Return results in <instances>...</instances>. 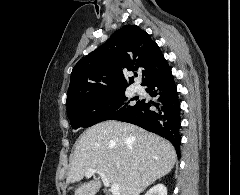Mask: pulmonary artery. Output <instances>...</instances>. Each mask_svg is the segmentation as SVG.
I'll list each match as a JSON object with an SVG mask.
<instances>
[{
    "label": "pulmonary artery",
    "mask_w": 240,
    "mask_h": 195,
    "mask_svg": "<svg viewBox=\"0 0 240 195\" xmlns=\"http://www.w3.org/2000/svg\"><path fill=\"white\" fill-rule=\"evenodd\" d=\"M135 92H137L138 94H143L144 93V88L141 85H136L134 87Z\"/></svg>",
    "instance_id": "e3ab8cb5"
}]
</instances>
